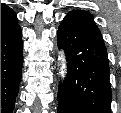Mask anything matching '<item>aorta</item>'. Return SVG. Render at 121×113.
<instances>
[{
	"mask_svg": "<svg viewBox=\"0 0 121 113\" xmlns=\"http://www.w3.org/2000/svg\"><path fill=\"white\" fill-rule=\"evenodd\" d=\"M59 61H60V74L62 75V77L65 76V71H66V63H65V59L63 55H60L58 57Z\"/></svg>",
	"mask_w": 121,
	"mask_h": 113,
	"instance_id": "762f6f07",
	"label": "aorta"
}]
</instances>
